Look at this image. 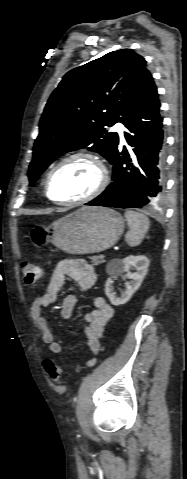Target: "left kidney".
<instances>
[{
	"label": "left kidney",
	"instance_id": "1",
	"mask_svg": "<svg viewBox=\"0 0 187 479\" xmlns=\"http://www.w3.org/2000/svg\"><path fill=\"white\" fill-rule=\"evenodd\" d=\"M149 267V259L146 256H128L124 259H112L106 266V272L109 275L105 284V293L110 302L114 306L123 305L130 300L132 295L140 287L144 277L147 274ZM136 272H130V270ZM124 272L127 273L129 282L125 284L126 289L121 293V296H116L113 287V280Z\"/></svg>",
	"mask_w": 187,
	"mask_h": 479
}]
</instances>
